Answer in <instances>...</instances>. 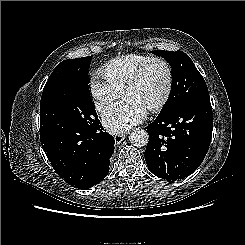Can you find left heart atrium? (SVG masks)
<instances>
[{"mask_svg": "<svg viewBox=\"0 0 245 245\" xmlns=\"http://www.w3.org/2000/svg\"><path fill=\"white\" fill-rule=\"evenodd\" d=\"M147 112L148 109L138 100L125 97L104 113L103 123L109 131L120 133L141 122Z\"/></svg>", "mask_w": 245, "mask_h": 245, "instance_id": "39dd6f15", "label": "left heart atrium"}]
</instances>
